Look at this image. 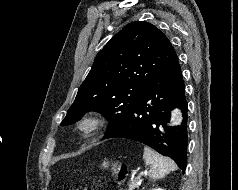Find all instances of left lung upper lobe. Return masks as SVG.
<instances>
[{
  "instance_id": "left-lung-upper-lobe-1",
  "label": "left lung upper lobe",
  "mask_w": 238,
  "mask_h": 190,
  "mask_svg": "<svg viewBox=\"0 0 238 190\" xmlns=\"http://www.w3.org/2000/svg\"><path fill=\"white\" fill-rule=\"evenodd\" d=\"M175 56L171 42L154 25L145 21L126 25L97 54L61 125L97 111L109 120L106 133H110Z\"/></svg>"
}]
</instances>
